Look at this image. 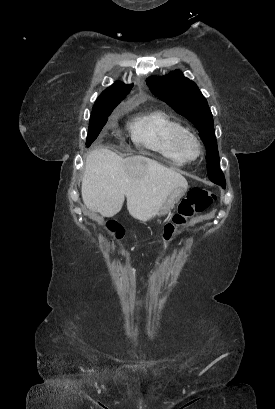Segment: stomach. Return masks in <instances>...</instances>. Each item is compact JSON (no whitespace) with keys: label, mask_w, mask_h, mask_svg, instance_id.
Returning <instances> with one entry per match:
<instances>
[{"label":"stomach","mask_w":275,"mask_h":409,"mask_svg":"<svg viewBox=\"0 0 275 409\" xmlns=\"http://www.w3.org/2000/svg\"><path fill=\"white\" fill-rule=\"evenodd\" d=\"M184 192L185 190L183 186H177V188H174L171 194H169L168 198H166V202H163L161 209H159L158 215H167L168 211L175 207L176 202H178L179 198L183 196Z\"/></svg>","instance_id":"obj_1"}]
</instances>
